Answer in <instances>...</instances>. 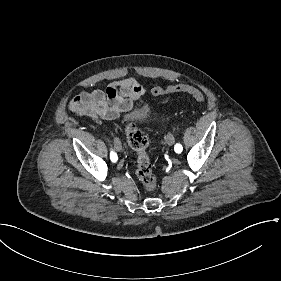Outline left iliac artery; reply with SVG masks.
<instances>
[{
	"label": "left iliac artery",
	"mask_w": 281,
	"mask_h": 281,
	"mask_svg": "<svg viewBox=\"0 0 281 281\" xmlns=\"http://www.w3.org/2000/svg\"><path fill=\"white\" fill-rule=\"evenodd\" d=\"M174 149H175V152H176V153H181L182 150H183V147H182L181 144H176L175 147H174Z\"/></svg>",
	"instance_id": "obj_1"
}]
</instances>
